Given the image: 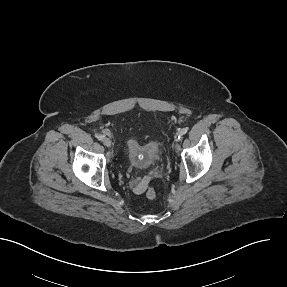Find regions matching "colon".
<instances>
[{
	"mask_svg": "<svg viewBox=\"0 0 287 287\" xmlns=\"http://www.w3.org/2000/svg\"><path fill=\"white\" fill-rule=\"evenodd\" d=\"M145 195L149 200H154L157 197V193L152 187L146 188Z\"/></svg>",
	"mask_w": 287,
	"mask_h": 287,
	"instance_id": "colon-1",
	"label": "colon"
}]
</instances>
